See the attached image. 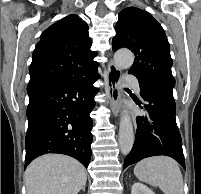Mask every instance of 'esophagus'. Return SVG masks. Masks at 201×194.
<instances>
[{"label": "esophagus", "mask_w": 201, "mask_h": 194, "mask_svg": "<svg viewBox=\"0 0 201 194\" xmlns=\"http://www.w3.org/2000/svg\"><path fill=\"white\" fill-rule=\"evenodd\" d=\"M120 77H121L120 69L116 67L113 62H109L108 71L106 75L107 93L109 98V106L115 117H118L120 113V106H119Z\"/></svg>", "instance_id": "1"}]
</instances>
